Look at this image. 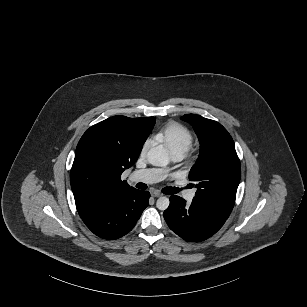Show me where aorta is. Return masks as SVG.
Segmentation results:
<instances>
[{
	"label": "aorta",
	"instance_id": "obj_1",
	"mask_svg": "<svg viewBox=\"0 0 307 307\" xmlns=\"http://www.w3.org/2000/svg\"><path fill=\"white\" fill-rule=\"evenodd\" d=\"M147 158L150 164L160 167H167L171 162V156L169 154V150L162 144L155 146L152 148L148 154ZM169 198L162 196L159 197L156 206L159 210H166L169 206Z\"/></svg>",
	"mask_w": 307,
	"mask_h": 307
}]
</instances>
